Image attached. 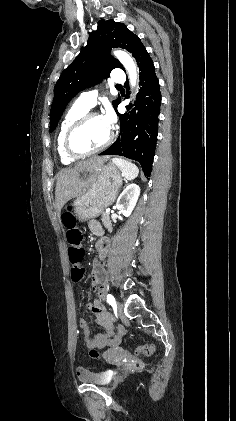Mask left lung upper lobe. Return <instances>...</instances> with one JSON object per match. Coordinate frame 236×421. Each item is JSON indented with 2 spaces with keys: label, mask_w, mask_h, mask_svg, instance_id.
I'll return each instance as SVG.
<instances>
[{
  "label": "left lung upper lobe",
  "mask_w": 236,
  "mask_h": 421,
  "mask_svg": "<svg viewBox=\"0 0 236 421\" xmlns=\"http://www.w3.org/2000/svg\"><path fill=\"white\" fill-rule=\"evenodd\" d=\"M142 45L137 35L123 23L101 20L98 28L89 35L88 43L75 60L62 72L54 89V99L50 111V132L54 131L69 101L80 91L99 83L108 77L114 68H124L110 55V49L121 47L132 55ZM121 99L114 100L115 110Z\"/></svg>",
  "instance_id": "1"
}]
</instances>
